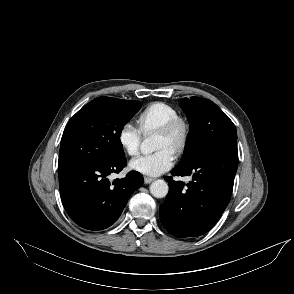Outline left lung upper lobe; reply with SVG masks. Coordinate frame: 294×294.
<instances>
[{
	"mask_svg": "<svg viewBox=\"0 0 294 294\" xmlns=\"http://www.w3.org/2000/svg\"><path fill=\"white\" fill-rule=\"evenodd\" d=\"M182 108L190 123L184 154L177 167L190 166L215 145L236 141V128L230 118L211 100L184 98Z\"/></svg>",
	"mask_w": 294,
	"mask_h": 294,
	"instance_id": "1",
	"label": "left lung upper lobe"
}]
</instances>
